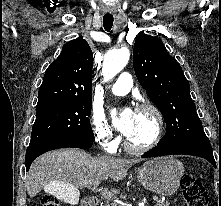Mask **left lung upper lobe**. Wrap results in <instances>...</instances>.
I'll use <instances>...</instances> for the list:
<instances>
[{
	"instance_id": "left-lung-upper-lobe-1",
	"label": "left lung upper lobe",
	"mask_w": 221,
	"mask_h": 206,
	"mask_svg": "<svg viewBox=\"0 0 221 206\" xmlns=\"http://www.w3.org/2000/svg\"><path fill=\"white\" fill-rule=\"evenodd\" d=\"M133 66L139 83L161 111L167 125L166 134L158 145L210 143L190 96L189 83L163 42L140 35L134 44Z\"/></svg>"
}]
</instances>
